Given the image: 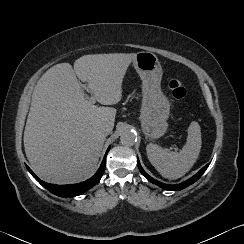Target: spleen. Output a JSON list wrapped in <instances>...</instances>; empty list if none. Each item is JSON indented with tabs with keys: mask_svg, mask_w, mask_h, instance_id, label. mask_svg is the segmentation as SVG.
I'll use <instances>...</instances> for the list:
<instances>
[{
	"mask_svg": "<svg viewBox=\"0 0 244 244\" xmlns=\"http://www.w3.org/2000/svg\"><path fill=\"white\" fill-rule=\"evenodd\" d=\"M201 129L193 121L188 127L186 144L179 152L170 151L156 144L146 146L147 157L155 169L167 179H178L184 176L195 164L201 150Z\"/></svg>",
	"mask_w": 244,
	"mask_h": 244,
	"instance_id": "1",
	"label": "spleen"
}]
</instances>
